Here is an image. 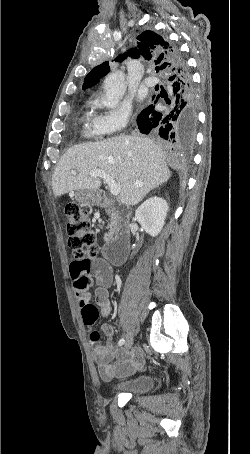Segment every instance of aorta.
Returning a JSON list of instances; mask_svg holds the SVG:
<instances>
[{
	"label": "aorta",
	"mask_w": 250,
	"mask_h": 454,
	"mask_svg": "<svg viewBox=\"0 0 250 454\" xmlns=\"http://www.w3.org/2000/svg\"><path fill=\"white\" fill-rule=\"evenodd\" d=\"M126 91L125 74L116 71L109 74L104 80V97L102 103L107 108H115L122 100Z\"/></svg>",
	"instance_id": "1"
}]
</instances>
